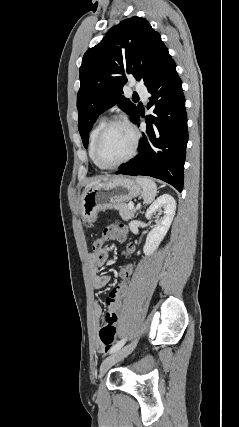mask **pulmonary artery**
Listing matches in <instances>:
<instances>
[{"instance_id": "obj_1", "label": "pulmonary artery", "mask_w": 239, "mask_h": 427, "mask_svg": "<svg viewBox=\"0 0 239 427\" xmlns=\"http://www.w3.org/2000/svg\"><path fill=\"white\" fill-rule=\"evenodd\" d=\"M135 90L142 96V97H144V98H146L147 97V94H148V91H147V88H146V86L144 85V84H142V83H137L136 85H135Z\"/></svg>"}]
</instances>
